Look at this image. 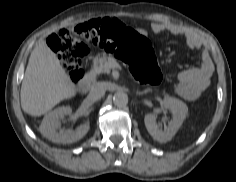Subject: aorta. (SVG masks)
Here are the masks:
<instances>
[{"mask_svg": "<svg viewBox=\"0 0 236 182\" xmlns=\"http://www.w3.org/2000/svg\"><path fill=\"white\" fill-rule=\"evenodd\" d=\"M113 102L117 107H123L128 103V95L123 91H118L113 95Z\"/></svg>", "mask_w": 236, "mask_h": 182, "instance_id": "aorta-1", "label": "aorta"}]
</instances>
